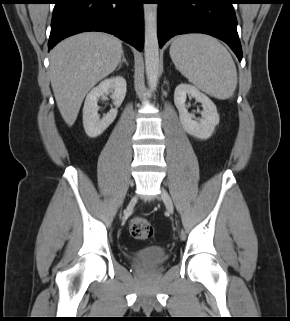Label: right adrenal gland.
I'll use <instances>...</instances> for the list:
<instances>
[{
    "instance_id": "obj_1",
    "label": "right adrenal gland",
    "mask_w": 290,
    "mask_h": 321,
    "mask_svg": "<svg viewBox=\"0 0 290 321\" xmlns=\"http://www.w3.org/2000/svg\"><path fill=\"white\" fill-rule=\"evenodd\" d=\"M123 63H125L127 66L129 65L128 62H127V60H126V58H125L124 53L122 54V60L120 61L117 70L121 69Z\"/></svg>"
}]
</instances>
